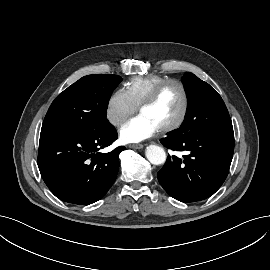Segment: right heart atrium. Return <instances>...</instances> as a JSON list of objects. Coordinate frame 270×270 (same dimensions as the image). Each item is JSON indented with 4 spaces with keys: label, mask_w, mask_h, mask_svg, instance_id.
Wrapping results in <instances>:
<instances>
[{
    "label": "right heart atrium",
    "mask_w": 270,
    "mask_h": 270,
    "mask_svg": "<svg viewBox=\"0 0 270 270\" xmlns=\"http://www.w3.org/2000/svg\"><path fill=\"white\" fill-rule=\"evenodd\" d=\"M136 111L137 107L125 90L116 89L107 100L105 116L112 126L118 128Z\"/></svg>",
    "instance_id": "d8ad5b80"
}]
</instances>
